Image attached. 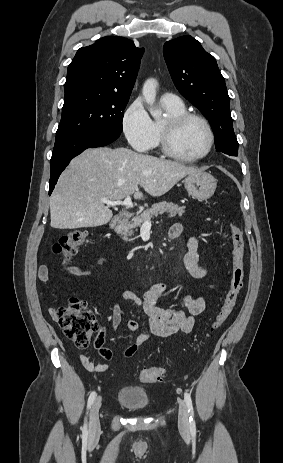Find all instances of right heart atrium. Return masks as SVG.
I'll use <instances>...</instances> for the list:
<instances>
[{
  "label": "right heart atrium",
  "mask_w": 283,
  "mask_h": 463,
  "mask_svg": "<svg viewBox=\"0 0 283 463\" xmlns=\"http://www.w3.org/2000/svg\"><path fill=\"white\" fill-rule=\"evenodd\" d=\"M123 133L130 146L139 152H146L154 145L156 130L140 99L134 100L122 118Z\"/></svg>",
  "instance_id": "1"
}]
</instances>
